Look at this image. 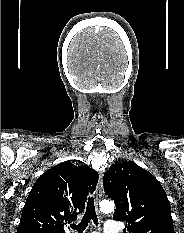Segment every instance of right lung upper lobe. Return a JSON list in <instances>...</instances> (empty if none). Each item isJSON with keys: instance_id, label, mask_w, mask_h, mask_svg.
<instances>
[{"instance_id": "right-lung-upper-lobe-1", "label": "right lung upper lobe", "mask_w": 184, "mask_h": 233, "mask_svg": "<svg viewBox=\"0 0 184 233\" xmlns=\"http://www.w3.org/2000/svg\"><path fill=\"white\" fill-rule=\"evenodd\" d=\"M98 178L95 170L70 161L47 170L27 197L17 233H65L64 225L83 212Z\"/></svg>"}]
</instances>
